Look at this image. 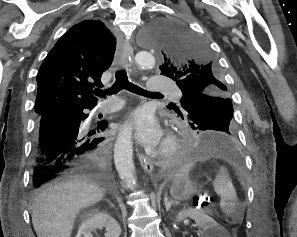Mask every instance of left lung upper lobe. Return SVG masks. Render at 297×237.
Returning a JSON list of instances; mask_svg holds the SVG:
<instances>
[{"label":"left lung upper lobe","instance_id":"left-lung-upper-lobe-1","mask_svg":"<svg viewBox=\"0 0 297 237\" xmlns=\"http://www.w3.org/2000/svg\"><path fill=\"white\" fill-rule=\"evenodd\" d=\"M149 39L163 61L161 74L175 80L182 91L180 106L173 109L193 127L220 130L236 139L229 91L207 43L168 22L153 24Z\"/></svg>","mask_w":297,"mask_h":237}]
</instances>
